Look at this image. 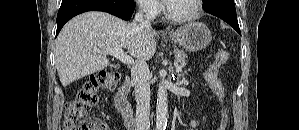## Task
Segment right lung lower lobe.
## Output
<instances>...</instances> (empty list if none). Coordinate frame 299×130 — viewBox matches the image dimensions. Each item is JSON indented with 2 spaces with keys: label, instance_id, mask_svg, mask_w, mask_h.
<instances>
[{
  "label": "right lung lower lobe",
  "instance_id": "1",
  "mask_svg": "<svg viewBox=\"0 0 299 130\" xmlns=\"http://www.w3.org/2000/svg\"><path fill=\"white\" fill-rule=\"evenodd\" d=\"M134 8V0H62L57 15L56 36L68 20L83 12L104 11L128 20Z\"/></svg>",
  "mask_w": 299,
  "mask_h": 130
}]
</instances>
